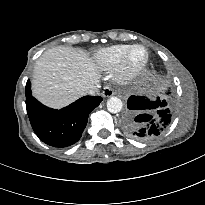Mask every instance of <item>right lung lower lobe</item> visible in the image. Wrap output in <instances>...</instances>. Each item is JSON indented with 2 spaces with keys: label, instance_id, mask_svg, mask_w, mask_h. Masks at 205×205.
Returning <instances> with one entry per match:
<instances>
[{
  "label": "right lung lower lobe",
  "instance_id": "98d812e1",
  "mask_svg": "<svg viewBox=\"0 0 205 205\" xmlns=\"http://www.w3.org/2000/svg\"><path fill=\"white\" fill-rule=\"evenodd\" d=\"M31 83L25 87L26 108L36 135L46 144L67 147L76 143L88 121L90 112L102 101L100 96H84L69 106L55 110L48 108L31 95Z\"/></svg>",
  "mask_w": 205,
  "mask_h": 205
}]
</instances>
